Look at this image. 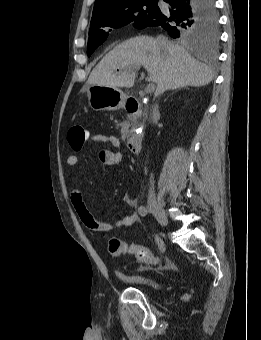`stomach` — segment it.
I'll return each mask as SVG.
<instances>
[{"label":"stomach","mask_w":261,"mask_h":340,"mask_svg":"<svg viewBox=\"0 0 261 340\" xmlns=\"http://www.w3.org/2000/svg\"><path fill=\"white\" fill-rule=\"evenodd\" d=\"M86 91L89 107L95 111H115L126 101L125 93L117 87L88 85Z\"/></svg>","instance_id":"stomach-1"}]
</instances>
